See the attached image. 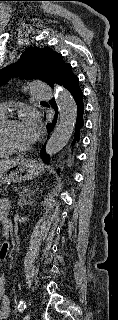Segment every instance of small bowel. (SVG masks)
<instances>
[{"mask_svg":"<svg viewBox=\"0 0 118 320\" xmlns=\"http://www.w3.org/2000/svg\"><path fill=\"white\" fill-rule=\"evenodd\" d=\"M10 202L6 198H0V214H6ZM7 250V246H2L0 248V253ZM6 277L0 275V320H5L10 314V300L5 293Z\"/></svg>","mask_w":118,"mask_h":320,"instance_id":"obj_1","label":"small bowel"}]
</instances>
